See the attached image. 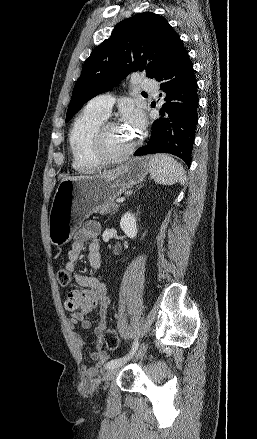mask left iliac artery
I'll use <instances>...</instances> for the list:
<instances>
[{"mask_svg": "<svg viewBox=\"0 0 257 439\" xmlns=\"http://www.w3.org/2000/svg\"><path fill=\"white\" fill-rule=\"evenodd\" d=\"M138 345H139L138 338H136L135 342L133 343L131 351L126 356H124L122 358H116V359H113V360L109 361L105 365V368L109 369V368H112V367H114L116 365H120V364L126 362L127 360H129L135 354V352H136V350L138 348Z\"/></svg>", "mask_w": 257, "mask_h": 439, "instance_id": "left-iliac-artery-1", "label": "left iliac artery"}]
</instances>
